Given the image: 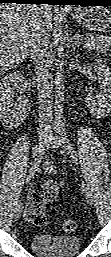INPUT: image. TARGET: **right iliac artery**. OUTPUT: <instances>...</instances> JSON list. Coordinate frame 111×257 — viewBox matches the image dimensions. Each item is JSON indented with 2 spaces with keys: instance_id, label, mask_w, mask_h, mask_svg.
Masks as SVG:
<instances>
[{
  "instance_id": "right-iliac-artery-1",
  "label": "right iliac artery",
  "mask_w": 111,
  "mask_h": 257,
  "mask_svg": "<svg viewBox=\"0 0 111 257\" xmlns=\"http://www.w3.org/2000/svg\"><path fill=\"white\" fill-rule=\"evenodd\" d=\"M54 139L53 134H51L48 137L47 143L45 144V146L40 150L39 155L35 158L34 163L32 165V167L30 168V173L28 175V178L26 180L27 184L33 179L36 171L38 170V167L41 163L42 157L45 154L46 150L49 148L51 141ZM24 197H25V193L23 192L18 200V204L23 203L24 201Z\"/></svg>"
}]
</instances>
